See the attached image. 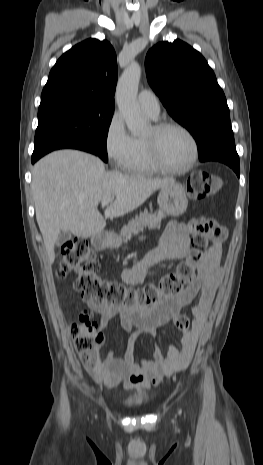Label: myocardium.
Returning <instances> with one entry per match:
<instances>
[{"mask_svg": "<svg viewBox=\"0 0 263 465\" xmlns=\"http://www.w3.org/2000/svg\"><path fill=\"white\" fill-rule=\"evenodd\" d=\"M178 129L185 133L190 139L193 146V154L190 161L182 167L170 166L163 161L159 151L158 138L167 129ZM143 141L147 150L148 157L151 163L160 171L169 173H185L190 171L196 164L199 158V143L195 135L181 123L175 121H161L157 122L151 127V133L143 137Z\"/></svg>", "mask_w": 263, "mask_h": 465, "instance_id": "myocardium-1", "label": "myocardium"}]
</instances>
